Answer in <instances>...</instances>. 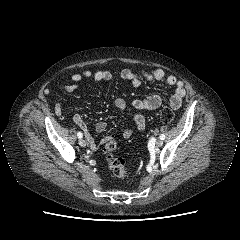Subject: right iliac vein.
<instances>
[{"instance_id":"obj_1","label":"right iliac vein","mask_w":240,"mask_h":240,"mask_svg":"<svg viewBox=\"0 0 240 240\" xmlns=\"http://www.w3.org/2000/svg\"><path fill=\"white\" fill-rule=\"evenodd\" d=\"M79 145L82 147H85L87 145V142L84 139H79Z\"/></svg>"}]
</instances>
